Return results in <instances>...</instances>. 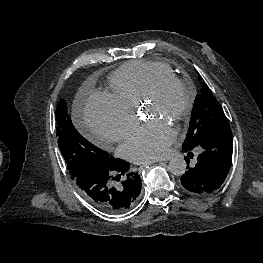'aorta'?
Segmentation results:
<instances>
[{
	"label": "aorta",
	"instance_id": "1",
	"mask_svg": "<svg viewBox=\"0 0 263 263\" xmlns=\"http://www.w3.org/2000/svg\"><path fill=\"white\" fill-rule=\"evenodd\" d=\"M186 167V161L181 157L172 158L168 165L169 171L176 176L183 175L186 172Z\"/></svg>",
	"mask_w": 263,
	"mask_h": 263
}]
</instances>
